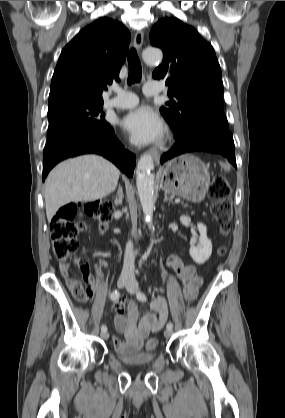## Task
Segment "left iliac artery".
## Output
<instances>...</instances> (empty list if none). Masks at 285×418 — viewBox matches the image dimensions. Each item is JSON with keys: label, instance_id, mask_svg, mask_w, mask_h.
Returning a JSON list of instances; mask_svg holds the SVG:
<instances>
[{"label": "left iliac artery", "instance_id": "left-iliac-artery-1", "mask_svg": "<svg viewBox=\"0 0 285 418\" xmlns=\"http://www.w3.org/2000/svg\"><path fill=\"white\" fill-rule=\"evenodd\" d=\"M137 298H138L140 301H146V300H147L146 295H145L144 293H142V292H139V293L137 294ZM166 328H167V329H172V328H173V324H172L171 322H169V323L167 324Z\"/></svg>", "mask_w": 285, "mask_h": 418}]
</instances>
